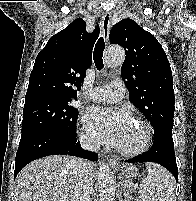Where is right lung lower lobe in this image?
<instances>
[{
  "label": "right lung lower lobe",
  "mask_w": 196,
  "mask_h": 201,
  "mask_svg": "<svg viewBox=\"0 0 196 201\" xmlns=\"http://www.w3.org/2000/svg\"><path fill=\"white\" fill-rule=\"evenodd\" d=\"M76 136V131L66 134L49 129L22 133L16 153L14 178L26 164L48 155H72L96 161L97 154L83 150Z\"/></svg>",
  "instance_id": "98d812e1"
}]
</instances>
